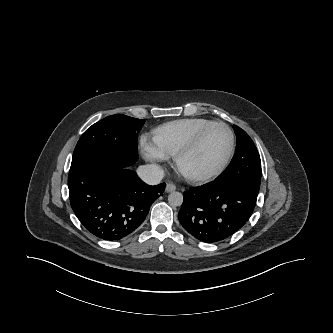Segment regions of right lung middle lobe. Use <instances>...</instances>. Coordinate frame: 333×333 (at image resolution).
<instances>
[{"instance_id": "right-lung-middle-lobe-1", "label": "right lung middle lobe", "mask_w": 333, "mask_h": 333, "mask_svg": "<svg viewBox=\"0 0 333 333\" xmlns=\"http://www.w3.org/2000/svg\"><path fill=\"white\" fill-rule=\"evenodd\" d=\"M144 122L116 114L93 124L75 147L69 175L88 166L126 167L136 162L137 133Z\"/></svg>"}]
</instances>
